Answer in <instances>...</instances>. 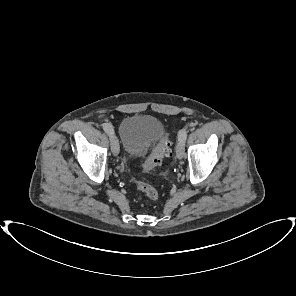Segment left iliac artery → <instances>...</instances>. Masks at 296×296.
Here are the masks:
<instances>
[{"label":"left iliac artery","instance_id":"left-iliac-artery-1","mask_svg":"<svg viewBox=\"0 0 296 296\" xmlns=\"http://www.w3.org/2000/svg\"><path fill=\"white\" fill-rule=\"evenodd\" d=\"M186 138H187V131L186 129H182L178 134V140L185 142Z\"/></svg>","mask_w":296,"mask_h":296}]
</instances>
